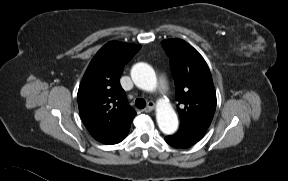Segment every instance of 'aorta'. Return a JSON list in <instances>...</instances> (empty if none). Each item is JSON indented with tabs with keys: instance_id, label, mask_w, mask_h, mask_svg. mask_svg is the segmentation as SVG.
I'll return each mask as SVG.
<instances>
[{
	"instance_id": "aorta-1",
	"label": "aorta",
	"mask_w": 288,
	"mask_h": 181,
	"mask_svg": "<svg viewBox=\"0 0 288 181\" xmlns=\"http://www.w3.org/2000/svg\"><path fill=\"white\" fill-rule=\"evenodd\" d=\"M134 84L146 91H153L157 86V78L153 68L146 63H137L131 70ZM156 119L160 130L164 134H172L178 128V118L172 106L161 101L157 105Z\"/></svg>"
}]
</instances>
